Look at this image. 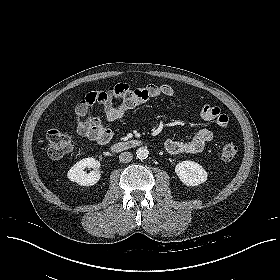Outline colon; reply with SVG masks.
Returning a JSON list of instances; mask_svg holds the SVG:
<instances>
[{"label":"colon","instance_id":"colon-1","mask_svg":"<svg viewBox=\"0 0 280 280\" xmlns=\"http://www.w3.org/2000/svg\"><path fill=\"white\" fill-rule=\"evenodd\" d=\"M118 85V84H117ZM115 86V85H114ZM204 118L215 120L216 123L226 128L229 124V117L226 114L221 113L218 107L207 106L204 109ZM93 139H103L104 142H108L110 133L109 131H101L94 129L90 132ZM72 151L69 136L58 128H52L47 132V153L52 159H59L64 155ZM237 153V147L233 143H226L221 150V157L224 161H231Z\"/></svg>","mask_w":280,"mask_h":280}]
</instances>
